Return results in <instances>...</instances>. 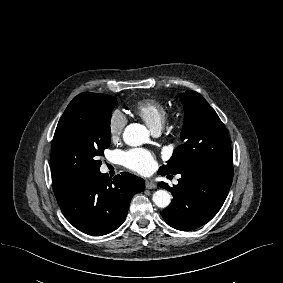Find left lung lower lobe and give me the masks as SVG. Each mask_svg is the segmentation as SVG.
Returning a JSON list of instances; mask_svg holds the SVG:
<instances>
[{
    "label": "left lung lower lobe",
    "instance_id": "left-lung-lower-lobe-1",
    "mask_svg": "<svg viewBox=\"0 0 283 283\" xmlns=\"http://www.w3.org/2000/svg\"><path fill=\"white\" fill-rule=\"evenodd\" d=\"M180 174L181 178L173 188L159 183L173 195L162 216L169 226L189 231L206 224L220 210L232 184L233 169L221 172L192 170Z\"/></svg>",
    "mask_w": 283,
    "mask_h": 283
}]
</instances>
